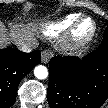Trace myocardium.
<instances>
[{
  "label": "myocardium",
  "instance_id": "f54148a6",
  "mask_svg": "<svg viewBox=\"0 0 108 108\" xmlns=\"http://www.w3.org/2000/svg\"><path fill=\"white\" fill-rule=\"evenodd\" d=\"M85 23H89L87 31L82 32V26ZM96 32V23L91 17H82L76 20L69 32L67 37V44L71 48H80L89 43L94 37Z\"/></svg>",
  "mask_w": 108,
  "mask_h": 108
}]
</instances>
